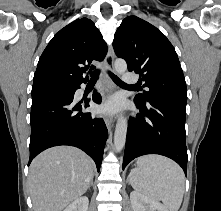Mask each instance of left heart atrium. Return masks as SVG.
<instances>
[{
    "label": "left heart atrium",
    "instance_id": "left-heart-atrium-1",
    "mask_svg": "<svg viewBox=\"0 0 221 211\" xmlns=\"http://www.w3.org/2000/svg\"><path fill=\"white\" fill-rule=\"evenodd\" d=\"M120 106V100L117 97H113L105 103H103L100 107V110L106 113H115L119 110Z\"/></svg>",
    "mask_w": 221,
    "mask_h": 211
}]
</instances>
